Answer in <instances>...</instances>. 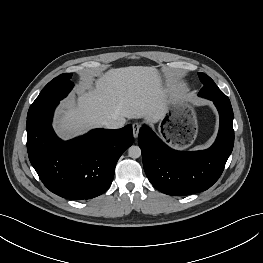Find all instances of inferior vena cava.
<instances>
[{
  "label": "inferior vena cava",
  "instance_id": "obj_1",
  "mask_svg": "<svg viewBox=\"0 0 263 263\" xmlns=\"http://www.w3.org/2000/svg\"><path fill=\"white\" fill-rule=\"evenodd\" d=\"M123 122L119 121V120H115V119H110V120H106L104 121L103 125L106 127V128H109V129H118V128H121L123 127Z\"/></svg>",
  "mask_w": 263,
  "mask_h": 263
}]
</instances>
